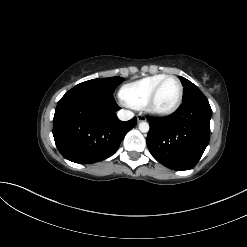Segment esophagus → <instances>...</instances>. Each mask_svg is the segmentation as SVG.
Masks as SVG:
<instances>
[{"label":"esophagus","mask_w":247,"mask_h":247,"mask_svg":"<svg viewBox=\"0 0 247 247\" xmlns=\"http://www.w3.org/2000/svg\"><path fill=\"white\" fill-rule=\"evenodd\" d=\"M146 120V118L144 117V116H142V115H138L137 116V121L138 122H143V121H145Z\"/></svg>","instance_id":"obj_1"}]
</instances>
